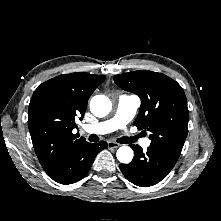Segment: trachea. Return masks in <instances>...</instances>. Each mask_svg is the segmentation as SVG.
Returning a JSON list of instances; mask_svg holds the SVG:
<instances>
[{
    "label": "trachea",
    "mask_w": 221,
    "mask_h": 221,
    "mask_svg": "<svg viewBox=\"0 0 221 221\" xmlns=\"http://www.w3.org/2000/svg\"><path fill=\"white\" fill-rule=\"evenodd\" d=\"M89 141L92 142H98L99 141V137L95 134H91L88 137ZM137 140V137H122L118 140L119 143H123V144H130V143H134Z\"/></svg>",
    "instance_id": "obj_1"
}]
</instances>
